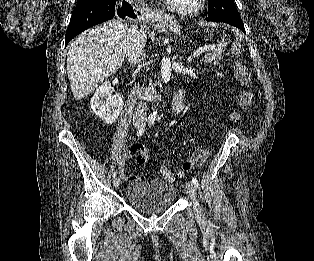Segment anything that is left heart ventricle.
<instances>
[{"label":"left heart ventricle","instance_id":"obj_1","mask_svg":"<svg viewBox=\"0 0 314 261\" xmlns=\"http://www.w3.org/2000/svg\"><path fill=\"white\" fill-rule=\"evenodd\" d=\"M172 1L182 6H189L192 5L196 0H172Z\"/></svg>","mask_w":314,"mask_h":261}]
</instances>
